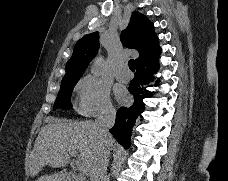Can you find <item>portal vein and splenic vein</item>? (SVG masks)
Returning a JSON list of instances; mask_svg holds the SVG:
<instances>
[{
  "mask_svg": "<svg viewBox=\"0 0 228 181\" xmlns=\"http://www.w3.org/2000/svg\"><path fill=\"white\" fill-rule=\"evenodd\" d=\"M69 155H72V157H77L78 153L75 151V153H69ZM78 171L80 175H89V169L85 163H79Z\"/></svg>",
  "mask_w": 228,
  "mask_h": 181,
  "instance_id": "obj_1",
  "label": "portal vein and splenic vein"
}]
</instances>
